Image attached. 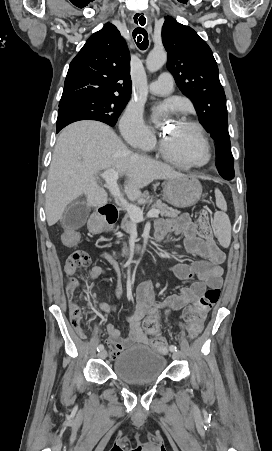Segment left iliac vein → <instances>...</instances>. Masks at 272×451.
Wrapping results in <instances>:
<instances>
[{"instance_id": "1", "label": "left iliac vein", "mask_w": 272, "mask_h": 451, "mask_svg": "<svg viewBox=\"0 0 272 451\" xmlns=\"http://www.w3.org/2000/svg\"><path fill=\"white\" fill-rule=\"evenodd\" d=\"M173 359H178L179 358V352H175L172 356Z\"/></svg>"}]
</instances>
